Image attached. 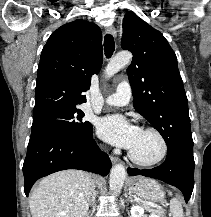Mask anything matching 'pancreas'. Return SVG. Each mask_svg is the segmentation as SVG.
Returning a JSON list of instances; mask_svg holds the SVG:
<instances>
[{
  "mask_svg": "<svg viewBox=\"0 0 211 217\" xmlns=\"http://www.w3.org/2000/svg\"><path fill=\"white\" fill-rule=\"evenodd\" d=\"M141 205L149 212H151L152 214H154L156 217H165V213L163 210L161 209H154L151 208L149 205H147L146 203H141Z\"/></svg>",
  "mask_w": 211,
  "mask_h": 217,
  "instance_id": "cf45deb5",
  "label": "pancreas"
}]
</instances>
